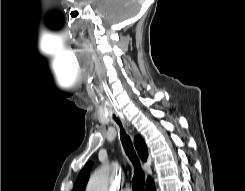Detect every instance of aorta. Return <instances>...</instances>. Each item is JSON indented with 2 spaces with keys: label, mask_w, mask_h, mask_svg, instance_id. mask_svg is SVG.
Returning <instances> with one entry per match:
<instances>
[{
  "label": "aorta",
  "mask_w": 245,
  "mask_h": 191,
  "mask_svg": "<svg viewBox=\"0 0 245 191\" xmlns=\"http://www.w3.org/2000/svg\"><path fill=\"white\" fill-rule=\"evenodd\" d=\"M109 167L98 169L90 178L86 191H108Z\"/></svg>",
  "instance_id": "aorta-1"
}]
</instances>
